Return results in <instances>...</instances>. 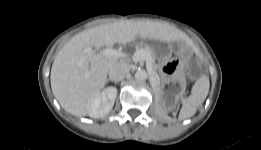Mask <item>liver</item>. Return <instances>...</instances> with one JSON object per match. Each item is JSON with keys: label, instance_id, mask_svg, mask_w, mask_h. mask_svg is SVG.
I'll return each mask as SVG.
<instances>
[{"label": "liver", "instance_id": "obj_1", "mask_svg": "<svg viewBox=\"0 0 261 150\" xmlns=\"http://www.w3.org/2000/svg\"><path fill=\"white\" fill-rule=\"evenodd\" d=\"M163 42L188 40V36L168 24L151 21L124 20L100 25L74 35L56 55L51 68V89L67 112L88 115L89 106L107 81L117 57L100 50L115 43L127 44L136 39Z\"/></svg>", "mask_w": 261, "mask_h": 150}]
</instances>
